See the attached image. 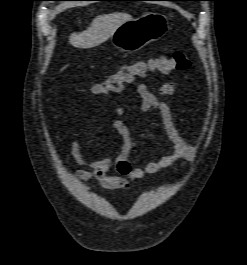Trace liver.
<instances>
[{
  "instance_id": "obj_1",
  "label": "liver",
  "mask_w": 247,
  "mask_h": 265,
  "mask_svg": "<svg viewBox=\"0 0 247 265\" xmlns=\"http://www.w3.org/2000/svg\"><path fill=\"white\" fill-rule=\"evenodd\" d=\"M127 13H112L99 15L93 19L90 26L80 33H72L69 43L76 48L88 49L107 41L125 22L132 20Z\"/></svg>"
}]
</instances>
